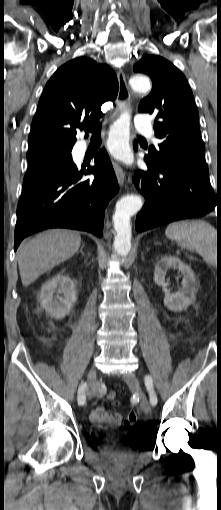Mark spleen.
Returning <instances> with one entry per match:
<instances>
[{
    "mask_svg": "<svg viewBox=\"0 0 221 510\" xmlns=\"http://www.w3.org/2000/svg\"><path fill=\"white\" fill-rule=\"evenodd\" d=\"M168 238L182 248L195 251L204 261L215 264L217 234L213 226L203 220H184L173 222L165 231Z\"/></svg>",
    "mask_w": 221,
    "mask_h": 510,
    "instance_id": "1",
    "label": "spleen"
}]
</instances>
